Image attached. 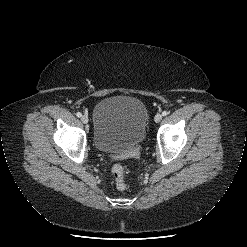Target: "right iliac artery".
<instances>
[{
	"instance_id": "obj_1",
	"label": "right iliac artery",
	"mask_w": 247,
	"mask_h": 247,
	"mask_svg": "<svg viewBox=\"0 0 247 247\" xmlns=\"http://www.w3.org/2000/svg\"><path fill=\"white\" fill-rule=\"evenodd\" d=\"M76 116H77V117H81L82 114H81L80 112H77V113H76Z\"/></svg>"
}]
</instances>
